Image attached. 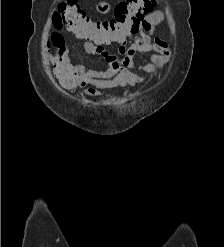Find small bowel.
<instances>
[{
    "label": "small bowel",
    "mask_w": 224,
    "mask_h": 247,
    "mask_svg": "<svg viewBox=\"0 0 224 247\" xmlns=\"http://www.w3.org/2000/svg\"><path fill=\"white\" fill-rule=\"evenodd\" d=\"M102 13L109 9L108 3L100 2L97 6ZM165 16L161 11L148 14L142 21L136 33L122 37L114 42H96L86 40L84 49L88 55H95L104 59L108 63V68L104 71L88 70L82 76V83L91 85L85 91L88 96L100 98L102 89L108 88H133L145 82L142 76L134 71L146 72L148 74L159 73L168 61L170 47L167 41L155 35V26L164 20ZM49 25L52 33L47 40V47L53 45L57 49L56 61L68 62V47L66 46L62 30L63 24L57 10H53ZM110 44L118 45L117 54L110 53L106 46ZM154 51L151 61L145 64H137L135 57L138 53Z\"/></svg>",
    "instance_id": "c3829d8e"
}]
</instances>
